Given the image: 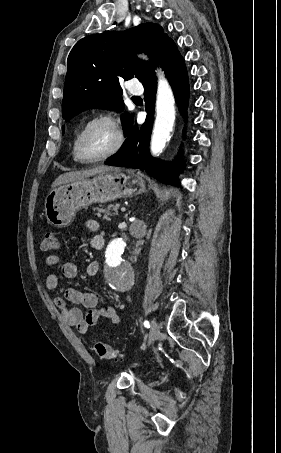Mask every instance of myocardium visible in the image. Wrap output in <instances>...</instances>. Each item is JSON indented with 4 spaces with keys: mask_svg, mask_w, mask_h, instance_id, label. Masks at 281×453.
I'll list each match as a JSON object with an SVG mask.
<instances>
[{
    "mask_svg": "<svg viewBox=\"0 0 281 453\" xmlns=\"http://www.w3.org/2000/svg\"><path fill=\"white\" fill-rule=\"evenodd\" d=\"M98 124H105L109 126L110 128L113 129L115 133V142L104 152L95 155L90 158H82L80 156V144L81 141L86 134V132L93 126L98 125ZM125 140L124 132L121 126L110 116L108 115H99L92 117L91 119L87 120L81 128L78 130L74 142H73V154L74 157L77 161L84 163V164H90V163H95L99 162L102 160H105L113 155H115L123 146Z\"/></svg>",
    "mask_w": 281,
    "mask_h": 453,
    "instance_id": "obj_1",
    "label": "myocardium"
}]
</instances>
